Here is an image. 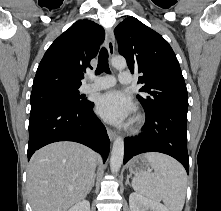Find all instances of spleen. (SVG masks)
<instances>
[{
    "label": "spleen",
    "mask_w": 221,
    "mask_h": 211,
    "mask_svg": "<svg viewBox=\"0 0 221 211\" xmlns=\"http://www.w3.org/2000/svg\"><path fill=\"white\" fill-rule=\"evenodd\" d=\"M153 173L142 172L132 180L133 189L152 200L163 201L169 211H182L187 188V174L183 166L161 153H147Z\"/></svg>",
    "instance_id": "spleen-1"
}]
</instances>
